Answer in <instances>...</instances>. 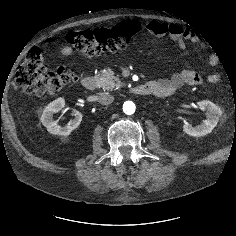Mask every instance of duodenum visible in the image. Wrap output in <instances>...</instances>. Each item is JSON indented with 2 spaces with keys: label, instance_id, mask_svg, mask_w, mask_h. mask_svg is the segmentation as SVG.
Segmentation results:
<instances>
[{
  "label": "duodenum",
  "instance_id": "410a0bca",
  "mask_svg": "<svg viewBox=\"0 0 236 236\" xmlns=\"http://www.w3.org/2000/svg\"><path fill=\"white\" fill-rule=\"evenodd\" d=\"M96 85V80L92 76H86L82 79V86L87 90H94ZM153 91V86L150 83L135 85L131 88V92L136 95H151Z\"/></svg>",
  "mask_w": 236,
  "mask_h": 236
}]
</instances>
